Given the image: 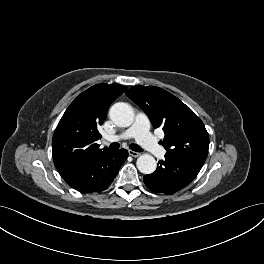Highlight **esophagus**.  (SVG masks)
<instances>
[{
	"instance_id": "esophagus-1",
	"label": "esophagus",
	"mask_w": 264,
	"mask_h": 264,
	"mask_svg": "<svg viewBox=\"0 0 264 264\" xmlns=\"http://www.w3.org/2000/svg\"><path fill=\"white\" fill-rule=\"evenodd\" d=\"M128 152H129V155L132 156V157L136 158V157L140 156V153H138V152H135V151H132V150H129Z\"/></svg>"
}]
</instances>
